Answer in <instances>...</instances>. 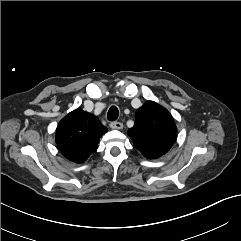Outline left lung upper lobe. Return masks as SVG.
<instances>
[{
    "label": "left lung upper lobe",
    "mask_w": 241,
    "mask_h": 241,
    "mask_svg": "<svg viewBox=\"0 0 241 241\" xmlns=\"http://www.w3.org/2000/svg\"><path fill=\"white\" fill-rule=\"evenodd\" d=\"M176 133L171 114L154 101H147L136 111L134 126L128 130L134 146L148 159H156L167 153Z\"/></svg>",
    "instance_id": "1"
}]
</instances>
